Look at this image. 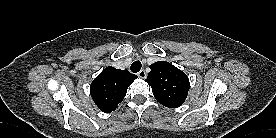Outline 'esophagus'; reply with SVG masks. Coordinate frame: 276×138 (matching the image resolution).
<instances>
[{
    "mask_svg": "<svg viewBox=\"0 0 276 138\" xmlns=\"http://www.w3.org/2000/svg\"><path fill=\"white\" fill-rule=\"evenodd\" d=\"M138 76L142 79L146 78V72L144 70H140L138 72Z\"/></svg>",
    "mask_w": 276,
    "mask_h": 138,
    "instance_id": "obj_1",
    "label": "esophagus"
}]
</instances>
